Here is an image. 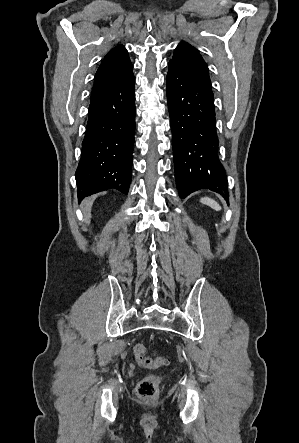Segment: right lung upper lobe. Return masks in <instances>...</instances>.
Masks as SVG:
<instances>
[{
    "mask_svg": "<svg viewBox=\"0 0 299 443\" xmlns=\"http://www.w3.org/2000/svg\"><path fill=\"white\" fill-rule=\"evenodd\" d=\"M133 66L122 45L114 47L104 58L95 75L91 100L112 89L132 74Z\"/></svg>",
    "mask_w": 299,
    "mask_h": 443,
    "instance_id": "cb5924a9",
    "label": "right lung upper lobe"
}]
</instances>
